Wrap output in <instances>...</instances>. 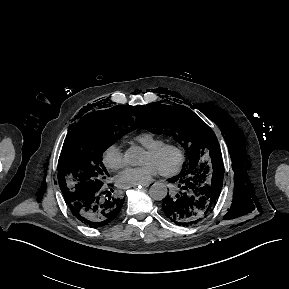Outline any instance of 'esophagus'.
Here are the masks:
<instances>
[{"label": "esophagus", "mask_w": 289, "mask_h": 289, "mask_svg": "<svg viewBox=\"0 0 289 289\" xmlns=\"http://www.w3.org/2000/svg\"><path fill=\"white\" fill-rule=\"evenodd\" d=\"M149 186H150V183L145 184V185H142V187H144V188H147V187H149Z\"/></svg>", "instance_id": "1"}]
</instances>
